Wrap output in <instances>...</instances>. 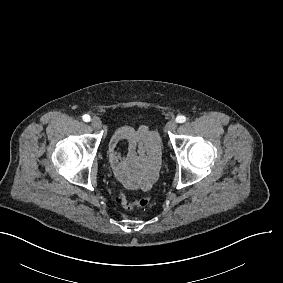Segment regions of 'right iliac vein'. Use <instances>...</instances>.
<instances>
[{"label":"right iliac vein","mask_w":283,"mask_h":283,"mask_svg":"<svg viewBox=\"0 0 283 283\" xmlns=\"http://www.w3.org/2000/svg\"><path fill=\"white\" fill-rule=\"evenodd\" d=\"M91 125H92V127L95 128V129H100L101 126H102V123H101L100 119H98V118H93V119L91 120Z\"/></svg>","instance_id":"obj_1"}]
</instances>
